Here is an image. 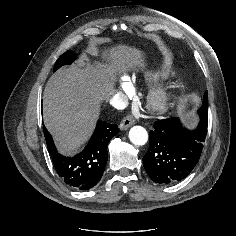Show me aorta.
<instances>
[{
	"label": "aorta",
	"instance_id": "obj_1",
	"mask_svg": "<svg viewBox=\"0 0 236 236\" xmlns=\"http://www.w3.org/2000/svg\"><path fill=\"white\" fill-rule=\"evenodd\" d=\"M129 139L133 144L142 146L148 141V133L142 126H133L129 130Z\"/></svg>",
	"mask_w": 236,
	"mask_h": 236
}]
</instances>
